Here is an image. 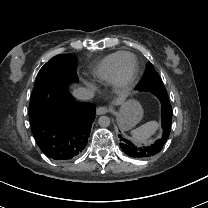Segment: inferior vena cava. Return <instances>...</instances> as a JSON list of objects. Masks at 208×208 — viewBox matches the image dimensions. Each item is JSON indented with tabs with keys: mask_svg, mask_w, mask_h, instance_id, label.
<instances>
[{
	"mask_svg": "<svg viewBox=\"0 0 208 208\" xmlns=\"http://www.w3.org/2000/svg\"><path fill=\"white\" fill-rule=\"evenodd\" d=\"M74 96L80 101H89L93 98L94 93L90 89L78 88L74 92Z\"/></svg>",
	"mask_w": 208,
	"mask_h": 208,
	"instance_id": "inferior-vena-cava-1",
	"label": "inferior vena cava"
}]
</instances>
